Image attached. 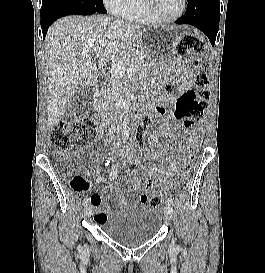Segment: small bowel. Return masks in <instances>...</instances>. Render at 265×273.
<instances>
[{"instance_id": "1", "label": "small bowel", "mask_w": 265, "mask_h": 273, "mask_svg": "<svg viewBox=\"0 0 265 273\" xmlns=\"http://www.w3.org/2000/svg\"><path fill=\"white\" fill-rule=\"evenodd\" d=\"M177 64H181L182 60L181 59H176ZM175 79L182 90H189L191 88V84L188 80V77L181 71H177L175 75ZM175 100V97H170V96H163L160 101L158 106L156 107V110L158 113L162 116L161 123L159 127L153 131V135L155 136H165L168 137L171 141L175 140L174 134L172 133L170 129V122H171V115L166 112L165 107L173 103ZM197 132V131H196ZM197 136L198 133H197ZM165 155L169 165L167 167V175H170L172 170L176 166L177 158H178V153L177 151L172 147V146H166L158 151H147V156L151 158H156L160 155ZM125 157L127 159L131 158V153L127 152L125 154ZM141 173L143 175H148L149 173H154L157 177L163 179L165 177V173L160 169V168H154L149 164H146L141 167ZM122 171V166L120 164H114L111 166L108 178L104 179L106 183H112L115 181L119 174ZM142 176H137L133 179L132 181V191L134 193L138 194L139 199H135V204H149V199L147 198L146 195V190L142 189ZM81 179L84 182V187H90L91 182L84 180L82 177ZM90 202L91 206L95 208V216L94 219L96 223L100 224L104 222L107 219V212H103L100 210V206L102 203V196L99 193H93L90 196ZM118 205L120 207H126L127 206V199L122 196L120 197L118 201Z\"/></svg>"}]
</instances>
